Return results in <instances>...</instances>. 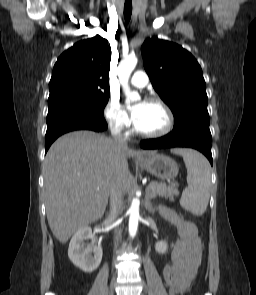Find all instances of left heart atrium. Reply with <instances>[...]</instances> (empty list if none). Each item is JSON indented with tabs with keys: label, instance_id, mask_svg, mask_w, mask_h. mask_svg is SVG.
Masks as SVG:
<instances>
[{
	"label": "left heart atrium",
	"instance_id": "left-heart-atrium-1",
	"mask_svg": "<svg viewBox=\"0 0 256 295\" xmlns=\"http://www.w3.org/2000/svg\"><path fill=\"white\" fill-rule=\"evenodd\" d=\"M145 104L146 103L141 102L131 108V119L134 124H136L141 118Z\"/></svg>",
	"mask_w": 256,
	"mask_h": 295
}]
</instances>
